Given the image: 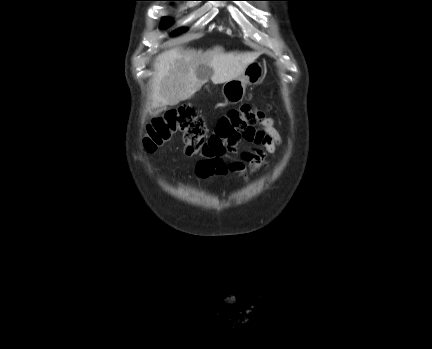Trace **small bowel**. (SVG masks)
Listing matches in <instances>:
<instances>
[{
    "label": "small bowel",
    "mask_w": 432,
    "mask_h": 349,
    "mask_svg": "<svg viewBox=\"0 0 432 349\" xmlns=\"http://www.w3.org/2000/svg\"><path fill=\"white\" fill-rule=\"evenodd\" d=\"M245 141L251 143L252 147L238 157L231 156L223 160L222 170L199 161L195 168L196 174L201 178H208L230 171L246 180L249 173H256L267 166L268 156L275 153L277 147L282 143V138L275 127L274 120L267 117L259 122L258 128H253L250 137L245 138Z\"/></svg>",
    "instance_id": "small-bowel-1"
}]
</instances>
